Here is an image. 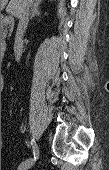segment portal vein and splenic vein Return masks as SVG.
I'll return each mask as SVG.
<instances>
[{"instance_id":"1","label":"portal vein and splenic vein","mask_w":109,"mask_h":170,"mask_svg":"<svg viewBox=\"0 0 109 170\" xmlns=\"http://www.w3.org/2000/svg\"><path fill=\"white\" fill-rule=\"evenodd\" d=\"M13 21V15L9 13V15L5 16L2 20L5 24H10Z\"/></svg>"}]
</instances>
